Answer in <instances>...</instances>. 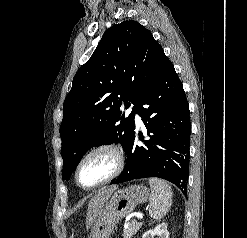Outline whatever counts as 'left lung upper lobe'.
<instances>
[{
    "mask_svg": "<svg viewBox=\"0 0 247 238\" xmlns=\"http://www.w3.org/2000/svg\"><path fill=\"white\" fill-rule=\"evenodd\" d=\"M165 58L151 32L136 21H123L104 33L63 104V179L93 146L115 142L126 149L135 130L134 114ZM130 103L133 110L125 117L120 107Z\"/></svg>",
    "mask_w": 247,
    "mask_h": 238,
    "instance_id": "obj_1",
    "label": "left lung upper lobe"
}]
</instances>
